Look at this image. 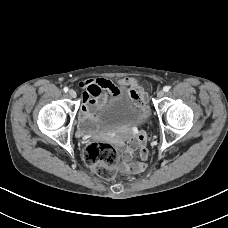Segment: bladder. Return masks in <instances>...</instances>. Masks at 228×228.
Wrapping results in <instances>:
<instances>
[{"label": "bladder", "mask_w": 228, "mask_h": 228, "mask_svg": "<svg viewBox=\"0 0 228 228\" xmlns=\"http://www.w3.org/2000/svg\"><path fill=\"white\" fill-rule=\"evenodd\" d=\"M146 119L144 107L133 99L127 88L122 87L110 93L94 121L100 129H116L140 125Z\"/></svg>", "instance_id": "1"}]
</instances>
